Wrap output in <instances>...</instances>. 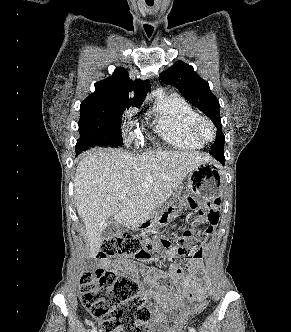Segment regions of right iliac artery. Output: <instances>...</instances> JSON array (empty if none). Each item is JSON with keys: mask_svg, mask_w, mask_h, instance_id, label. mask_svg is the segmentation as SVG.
<instances>
[{"mask_svg": "<svg viewBox=\"0 0 291 332\" xmlns=\"http://www.w3.org/2000/svg\"><path fill=\"white\" fill-rule=\"evenodd\" d=\"M91 332H97V329L94 327Z\"/></svg>", "mask_w": 291, "mask_h": 332, "instance_id": "1", "label": "right iliac artery"}]
</instances>
